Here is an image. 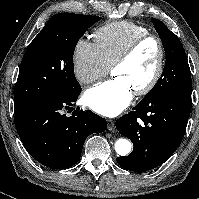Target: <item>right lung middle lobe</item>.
<instances>
[{
	"label": "right lung middle lobe",
	"instance_id": "1",
	"mask_svg": "<svg viewBox=\"0 0 199 199\" xmlns=\"http://www.w3.org/2000/svg\"><path fill=\"white\" fill-rule=\"evenodd\" d=\"M101 18L72 13L52 16L28 46L14 90L15 116L49 100L78 95L73 54L78 40Z\"/></svg>",
	"mask_w": 199,
	"mask_h": 199
}]
</instances>
